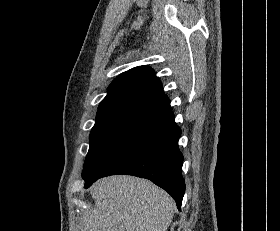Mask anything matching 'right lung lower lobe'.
I'll list each match as a JSON object with an SVG mask.
<instances>
[{"instance_id":"obj_1","label":"right lung lower lobe","mask_w":280,"mask_h":231,"mask_svg":"<svg viewBox=\"0 0 280 231\" xmlns=\"http://www.w3.org/2000/svg\"><path fill=\"white\" fill-rule=\"evenodd\" d=\"M181 129L171 111L128 128L101 149L83 170L85 188L97 179L128 174L146 178L166 190L180 210L185 182L183 155L177 142Z\"/></svg>"}]
</instances>
